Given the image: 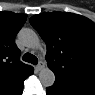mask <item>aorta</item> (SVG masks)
<instances>
[{"instance_id": "1", "label": "aorta", "mask_w": 95, "mask_h": 95, "mask_svg": "<svg viewBox=\"0 0 95 95\" xmlns=\"http://www.w3.org/2000/svg\"><path fill=\"white\" fill-rule=\"evenodd\" d=\"M21 43L28 48H36L40 44L37 33L30 28H23L18 34ZM39 80L44 87H50L55 82L54 72L45 67L39 72Z\"/></svg>"}]
</instances>
